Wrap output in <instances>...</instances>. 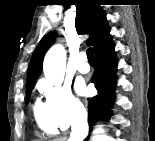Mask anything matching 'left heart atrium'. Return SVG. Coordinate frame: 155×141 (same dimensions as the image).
Segmentation results:
<instances>
[{"instance_id": "obj_1", "label": "left heart atrium", "mask_w": 155, "mask_h": 141, "mask_svg": "<svg viewBox=\"0 0 155 141\" xmlns=\"http://www.w3.org/2000/svg\"><path fill=\"white\" fill-rule=\"evenodd\" d=\"M76 90L78 93L83 94L85 92V86L82 83L76 85Z\"/></svg>"}]
</instances>
